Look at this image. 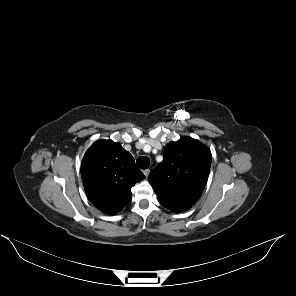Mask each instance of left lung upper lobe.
Instances as JSON below:
<instances>
[{"label":"left lung upper lobe","instance_id":"5c2ea615","mask_svg":"<svg viewBox=\"0 0 296 296\" xmlns=\"http://www.w3.org/2000/svg\"><path fill=\"white\" fill-rule=\"evenodd\" d=\"M211 160L210 150L193 138L167 144L163 161L148 177L159 202L174 213L192 207L205 188Z\"/></svg>","mask_w":296,"mask_h":296}]
</instances>
